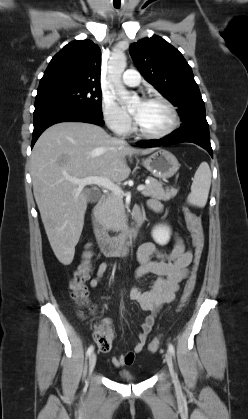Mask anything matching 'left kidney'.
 Masks as SVG:
<instances>
[{
  "label": "left kidney",
  "mask_w": 248,
  "mask_h": 419,
  "mask_svg": "<svg viewBox=\"0 0 248 419\" xmlns=\"http://www.w3.org/2000/svg\"><path fill=\"white\" fill-rule=\"evenodd\" d=\"M171 230L166 225L155 226L152 230V237L154 241L160 245H165L169 242Z\"/></svg>",
  "instance_id": "5707ae66"
}]
</instances>
